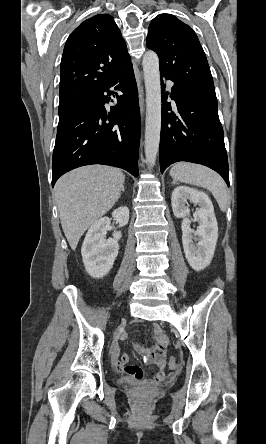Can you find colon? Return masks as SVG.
Instances as JSON below:
<instances>
[{
	"label": "colon",
	"instance_id": "1",
	"mask_svg": "<svg viewBox=\"0 0 266 444\" xmlns=\"http://www.w3.org/2000/svg\"><path fill=\"white\" fill-rule=\"evenodd\" d=\"M169 366L171 369H176L178 367V362H177L176 358L171 357L169 359Z\"/></svg>",
	"mask_w": 266,
	"mask_h": 444
}]
</instances>
